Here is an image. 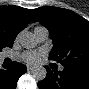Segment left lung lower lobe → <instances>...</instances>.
Returning a JSON list of instances; mask_svg holds the SVG:
<instances>
[{
  "label": "left lung lower lobe",
  "mask_w": 89,
  "mask_h": 89,
  "mask_svg": "<svg viewBox=\"0 0 89 89\" xmlns=\"http://www.w3.org/2000/svg\"><path fill=\"white\" fill-rule=\"evenodd\" d=\"M47 76L38 82L39 89H89V68L64 67L52 71L46 67Z\"/></svg>",
  "instance_id": "0a47b994"
}]
</instances>
